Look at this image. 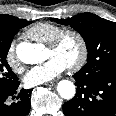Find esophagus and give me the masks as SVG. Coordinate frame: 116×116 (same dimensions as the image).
Returning <instances> with one entry per match:
<instances>
[{
	"instance_id": "esophagus-1",
	"label": "esophagus",
	"mask_w": 116,
	"mask_h": 116,
	"mask_svg": "<svg viewBox=\"0 0 116 116\" xmlns=\"http://www.w3.org/2000/svg\"><path fill=\"white\" fill-rule=\"evenodd\" d=\"M45 85H47V86H54L55 85V82H48Z\"/></svg>"
}]
</instances>
